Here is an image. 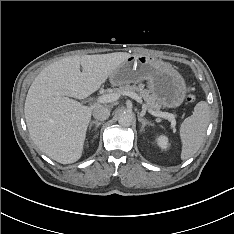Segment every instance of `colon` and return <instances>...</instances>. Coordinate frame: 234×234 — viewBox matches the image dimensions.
I'll return each mask as SVG.
<instances>
[{
  "label": "colon",
  "mask_w": 234,
  "mask_h": 234,
  "mask_svg": "<svg viewBox=\"0 0 234 234\" xmlns=\"http://www.w3.org/2000/svg\"><path fill=\"white\" fill-rule=\"evenodd\" d=\"M194 100H195V96H194V94L192 93V91L189 90V93H188V95H187V97H186V101H187L188 103H191V102H193Z\"/></svg>",
  "instance_id": "obj_1"
}]
</instances>
